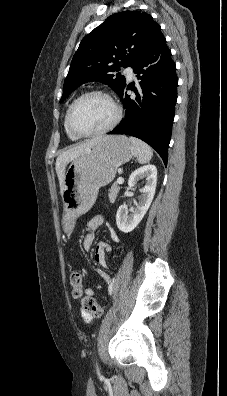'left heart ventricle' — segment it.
Here are the masks:
<instances>
[{
	"instance_id": "1",
	"label": "left heart ventricle",
	"mask_w": 227,
	"mask_h": 396,
	"mask_svg": "<svg viewBox=\"0 0 227 396\" xmlns=\"http://www.w3.org/2000/svg\"><path fill=\"white\" fill-rule=\"evenodd\" d=\"M115 110L104 97L94 95L82 99L72 114L73 126L80 132H93L107 126L114 118Z\"/></svg>"
}]
</instances>
